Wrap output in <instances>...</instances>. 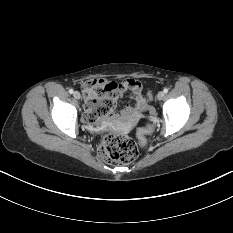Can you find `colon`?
Returning a JSON list of instances; mask_svg holds the SVG:
<instances>
[{
    "label": "colon",
    "instance_id": "colon-1",
    "mask_svg": "<svg viewBox=\"0 0 233 233\" xmlns=\"http://www.w3.org/2000/svg\"><path fill=\"white\" fill-rule=\"evenodd\" d=\"M84 93L87 100H97L99 104L93 109V115L89 120L104 117L111 113L116 105V83L91 79L84 83ZM152 130L151 126L142 128L139 131L140 142L143 143L145 136ZM100 157L110 164H128L138 156V148L134 140L127 136L106 134L99 145Z\"/></svg>",
    "mask_w": 233,
    "mask_h": 233
}]
</instances>
